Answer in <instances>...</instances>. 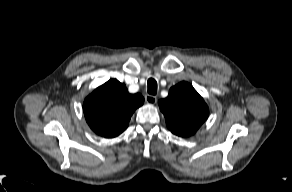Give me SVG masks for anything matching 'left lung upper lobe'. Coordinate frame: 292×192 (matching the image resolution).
<instances>
[{
  "label": "left lung upper lobe",
  "instance_id": "obj_1",
  "mask_svg": "<svg viewBox=\"0 0 292 192\" xmlns=\"http://www.w3.org/2000/svg\"><path fill=\"white\" fill-rule=\"evenodd\" d=\"M166 125L172 133L188 137L206 121L209 109L193 86L181 82L169 90L167 98L158 102Z\"/></svg>",
  "mask_w": 292,
  "mask_h": 192
}]
</instances>
